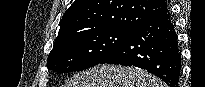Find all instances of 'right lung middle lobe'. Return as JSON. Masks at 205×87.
Here are the masks:
<instances>
[{
  "label": "right lung middle lobe",
  "mask_w": 205,
  "mask_h": 87,
  "mask_svg": "<svg viewBox=\"0 0 205 87\" xmlns=\"http://www.w3.org/2000/svg\"><path fill=\"white\" fill-rule=\"evenodd\" d=\"M132 33L123 29H100L55 42L47 68L67 73L93 67L118 49Z\"/></svg>",
  "instance_id": "right-lung-middle-lobe-1"
}]
</instances>
